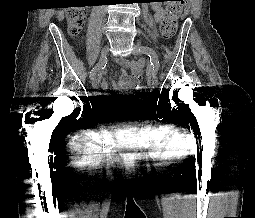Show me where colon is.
<instances>
[{
	"label": "colon",
	"instance_id": "1",
	"mask_svg": "<svg viewBox=\"0 0 255 218\" xmlns=\"http://www.w3.org/2000/svg\"><path fill=\"white\" fill-rule=\"evenodd\" d=\"M185 0H170L167 6L166 16L161 23V34L165 39H170L176 32L177 20L182 13ZM67 19L69 23V32L72 35L79 34L87 19V9L85 7H71L67 10ZM144 90V88H143Z\"/></svg>",
	"mask_w": 255,
	"mask_h": 218
}]
</instances>
